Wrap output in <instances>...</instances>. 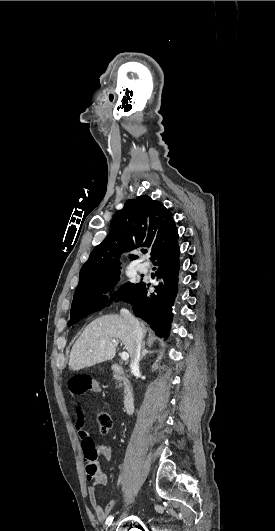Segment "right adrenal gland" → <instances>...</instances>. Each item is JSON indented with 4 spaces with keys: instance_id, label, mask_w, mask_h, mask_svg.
<instances>
[{
    "instance_id": "right-adrenal-gland-1",
    "label": "right adrenal gland",
    "mask_w": 275,
    "mask_h": 531,
    "mask_svg": "<svg viewBox=\"0 0 275 531\" xmlns=\"http://www.w3.org/2000/svg\"><path fill=\"white\" fill-rule=\"evenodd\" d=\"M145 345H146V343H142L140 361H142L143 357H145V355H147V353H158V351H148V349H146Z\"/></svg>"
}]
</instances>
